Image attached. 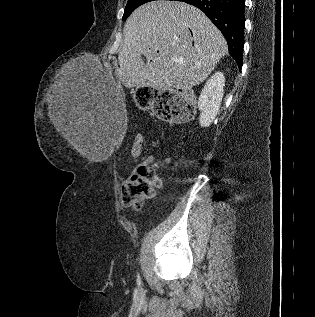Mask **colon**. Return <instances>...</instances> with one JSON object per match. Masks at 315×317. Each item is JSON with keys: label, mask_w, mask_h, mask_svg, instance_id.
<instances>
[{"label": "colon", "mask_w": 315, "mask_h": 317, "mask_svg": "<svg viewBox=\"0 0 315 317\" xmlns=\"http://www.w3.org/2000/svg\"><path fill=\"white\" fill-rule=\"evenodd\" d=\"M153 108L156 116L164 121L182 122L191 119L195 113L193 99L185 93L171 89L158 90ZM142 137L136 136L131 154L137 157L141 153ZM162 180L154 165L138 167L130 173L122 187V200L126 207L138 210L145 199L151 198L161 186Z\"/></svg>", "instance_id": "5ec220e1"}]
</instances>
